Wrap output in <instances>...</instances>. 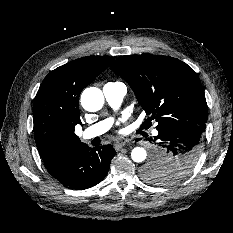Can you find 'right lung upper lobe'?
Here are the masks:
<instances>
[{
  "mask_svg": "<svg viewBox=\"0 0 233 233\" xmlns=\"http://www.w3.org/2000/svg\"><path fill=\"white\" fill-rule=\"evenodd\" d=\"M113 60V57L86 56L56 68L45 77L33 107V131L44 162L83 144L74 133L75 125L81 124L79 95Z\"/></svg>",
  "mask_w": 233,
  "mask_h": 233,
  "instance_id": "1",
  "label": "right lung upper lobe"
}]
</instances>
